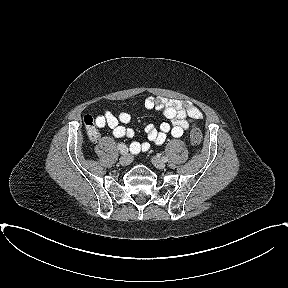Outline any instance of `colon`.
<instances>
[{
    "label": "colon",
    "instance_id": "1",
    "mask_svg": "<svg viewBox=\"0 0 288 288\" xmlns=\"http://www.w3.org/2000/svg\"><path fill=\"white\" fill-rule=\"evenodd\" d=\"M84 125L86 127L88 136L91 140H96L98 138V131L95 127L94 120L91 116L86 115L84 117ZM190 141L194 147H199L202 142V133L197 126H193L190 131Z\"/></svg>",
    "mask_w": 288,
    "mask_h": 288
}]
</instances>
